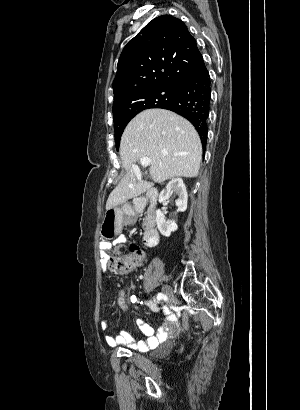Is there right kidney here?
<instances>
[{
	"label": "right kidney",
	"instance_id": "ca27d5eb",
	"mask_svg": "<svg viewBox=\"0 0 300 410\" xmlns=\"http://www.w3.org/2000/svg\"><path fill=\"white\" fill-rule=\"evenodd\" d=\"M173 192L178 195V199L176 200L177 211H186L188 194L186 186L181 178H174L169 181L165 189L160 192L159 202L162 203L168 200ZM156 223L158 230L165 237H169L171 233L176 231L178 228L174 220L166 221L164 213L160 209L156 211Z\"/></svg>",
	"mask_w": 300,
	"mask_h": 410
}]
</instances>
